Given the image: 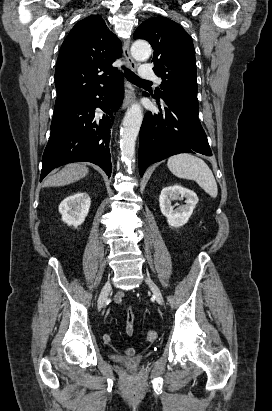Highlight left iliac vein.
Segmentation results:
<instances>
[{"mask_svg":"<svg viewBox=\"0 0 272 411\" xmlns=\"http://www.w3.org/2000/svg\"><path fill=\"white\" fill-rule=\"evenodd\" d=\"M145 282L149 286V288L151 289V291H152L153 295L155 296L157 302L159 304H163L164 299H163L162 293H161L160 289L158 288V286L150 278H146Z\"/></svg>","mask_w":272,"mask_h":411,"instance_id":"obj_1","label":"left iliac vein"}]
</instances>
